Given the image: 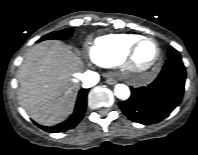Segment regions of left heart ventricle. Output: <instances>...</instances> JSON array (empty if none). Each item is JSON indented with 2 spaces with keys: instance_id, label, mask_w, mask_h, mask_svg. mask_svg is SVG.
I'll return each mask as SVG.
<instances>
[{
  "instance_id": "1",
  "label": "left heart ventricle",
  "mask_w": 198,
  "mask_h": 155,
  "mask_svg": "<svg viewBox=\"0 0 198 155\" xmlns=\"http://www.w3.org/2000/svg\"><path fill=\"white\" fill-rule=\"evenodd\" d=\"M156 53V45L151 41H146L139 46L136 53V60L139 65L146 66L154 60Z\"/></svg>"
}]
</instances>
